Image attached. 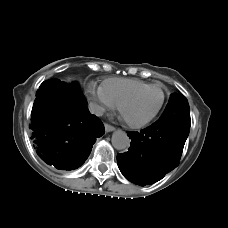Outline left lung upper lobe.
<instances>
[{"label": "left lung upper lobe", "instance_id": "1", "mask_svg": "<svg viewBox=\"0 0 228 228\" xmlns=\"http://www.w3.org/2000/svg\"><path fill=\"white\" fill-rule=\"evenodd\" d=\"M162 118H172L177 121L190 118V108L185 96L180 93H173L161 116Z\"/></svg>", "mask_w": 228, "mask_h": 228}]
</instances>
